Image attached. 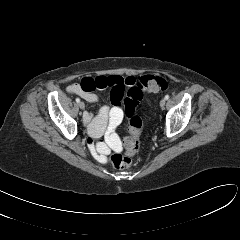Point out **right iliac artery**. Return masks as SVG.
I'll list each match as a JSON object with an SVG mask.
<instances>
[{"mask_svg": "<svg viewBox=\"0 0 240 240\" xmlns=\"http://www.w3.org/2000/svg\"><path fill=\"white\" fill-rule=\"evenodd\" d=\"M76 102L79 103V102H80V99H79V98H76Z\"/></svg>", "mask_w": 240, "mask_h": 240, "instance_id": "1", "label": "right iliac artery"}]
</instances>
